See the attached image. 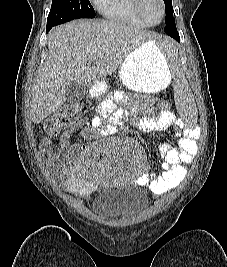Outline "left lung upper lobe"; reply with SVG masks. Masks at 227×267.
I'll use <instances>...</instances> for the list:
<instances>
[{"label":"left lung upper lobe","instance_id":"obj_1","mask_svg":"<svg viewBox=\"0 0 227 267\" xmlns=\"http://www.w3.org/2000/svg\"><path fill=\"white\" fill-rule=\"evenodd\" d=\"M165 7H166V25L174 23L175 19L173 17V7H172V0H164Z\"/></svg>","mask_w":227,"mask_h":267}]
</instances>
